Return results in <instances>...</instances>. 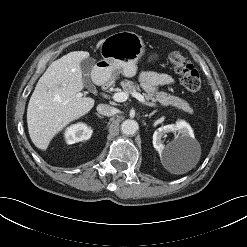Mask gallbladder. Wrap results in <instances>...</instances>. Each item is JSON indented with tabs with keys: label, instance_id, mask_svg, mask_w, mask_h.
I'll list each match as a JSON object with an SVG mask.
<instances>
[{
	"label": "gallbladder",
	"instance_id": "bac80fb5",
	"mask_svg": "<svg viewBox=\"0 0 247 247\" xmlns=\"http://www.w3.org/2000/svg\"><path fill=\"white\" fill-rule=\"evenodd\" d=\"M94 62L93 58H85L80 64L82 73L86 76L83 80L84 85L92 92L95 91V86L92 84L88 75L94 66Z\"/></svg>",
	"mask_w": 247,
	"mask_h": 247
}]
</instances>
